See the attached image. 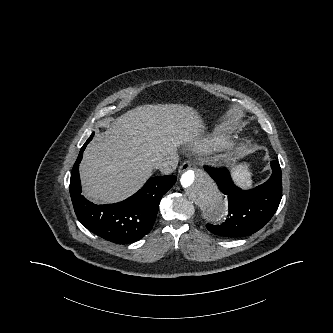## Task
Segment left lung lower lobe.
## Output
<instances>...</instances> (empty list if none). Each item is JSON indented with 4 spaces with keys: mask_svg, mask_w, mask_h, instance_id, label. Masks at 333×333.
Returning a JSON list of instances; mask_svg holds the SVG:
<instances>
[{
    "mask_svg": "<svg viewBox=\"0 0 333 333\" xmlns=\"http://www.w3.org/2000/svg\"><path fill=\"white\" fill-rule=\"evenodd\" d=\"M273 173L267 182L252 190L234 185L229 171L206 168L220 191L228 195L229 214L221 225L207 224V229L219 236L243 237L260 230L276 212L282 198L281 168L271 162Z\"/></svg>",
    "mask_w": 333,
    "mask_h": 333,
    "instance_id": "0a47b994",
    "label": "left lung lower lobe"
}]
</instances>
